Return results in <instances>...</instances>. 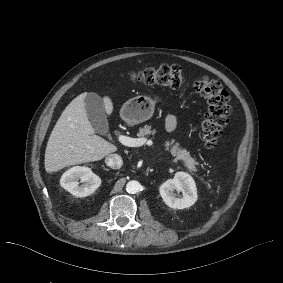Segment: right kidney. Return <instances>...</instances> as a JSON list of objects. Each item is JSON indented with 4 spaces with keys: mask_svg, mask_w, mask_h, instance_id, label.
Returning <instances> with one entry per match:
<instances>
[{
    "mask_svg": "<svg viewBox=\"0 0 283 283\" xmlns=\"http://www.w3.org/2000/svg\"><path fill=\"white\" fill-rule=\"evenodd\" d=\"M60 184L72 195L76 197H86L100 186L101 179L94 174L90 168L75 166L62 175Z\"/></svg>",
    "mask_w": 283,
    "mask_h": 283,
    "instance_id": "right-kidney-1",
    "label": "right kidney"
}]
</instances>
